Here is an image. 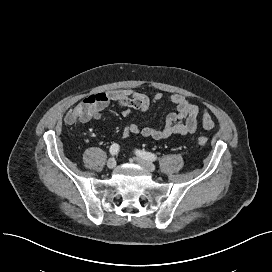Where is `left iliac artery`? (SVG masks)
<instances>
[{
	"mask_svg": "<svg viewBox=\"0 0 272 272\" xmlns=\"http://www.w3.org/2000/svg\"><path fill=\"white\" fill-rule=\"evenodd\" d=\"M136 154L139 157L146 159V160H150V161H155L157 159L156 155H154L153 153H150V152H146V151L137 150Z\"/></svg>",
	"mask_w": 272,
	"mask_h": 272,
	"instance_id": "44dca946",
	"label": "left iliac artery"
}]
</instances>
